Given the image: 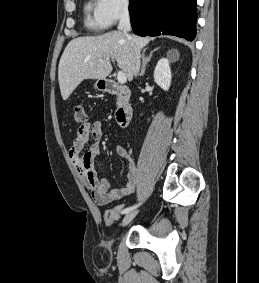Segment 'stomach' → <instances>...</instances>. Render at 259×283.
<instances>
[{
  "label": "stomach",
  "mask_w": 259,
  "mask_h": 283,
  "mask_svg": "<svg viewBox=\"0 0 259 283\" xmlns=\"http://www.w3.org/2000/svg\"><path fill=\"white\" fill-rule=\"evenodd\" d=\"M94 87L99 91H105L107 88V83L105 80H97Z\"/></svg>",
  "instance_id": "0dacf381"
}]
</instances>
